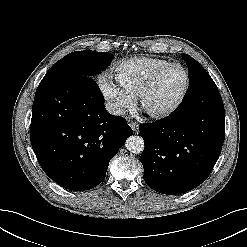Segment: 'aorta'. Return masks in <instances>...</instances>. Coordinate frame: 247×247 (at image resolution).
Here are the masks:
<instances>
[{"label":"aorta","instance_id":"1","mask_svg":"<svg viewBox=\"0 0 247 247\" xmlns=\"http://www.w3.org/2000/svg\"><path fill=\"white\" fill-rule=\"evenodd\" d=\"M125 146L127 150L130 151L131 153L139 154L144 150V141L142 137L132 135L127 138L125 142Z\"/></svg>","mask_w":247,"mask_h":247}]
</instances>
